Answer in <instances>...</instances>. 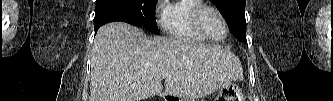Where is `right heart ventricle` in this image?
Wrapping results in <instances>:
<instances>
[{
	"label": "right heart ventricle",
	"instance_id": "1",
	"mask_svg": "<svg viewBox=\"0 0 333 101\" xmlns=\"http://www.w3.org/2000/svg\"><path fill=\"white\" fill-rule=\"evenodd\" d=\"M200 4L198 0H178L168 7L165 28L172 37L197 42L206 40L195 30L191 20L192 11Z\"/></svg>",
	"mask_w": 333,
	"mask_h": 101
}]
</instances>
